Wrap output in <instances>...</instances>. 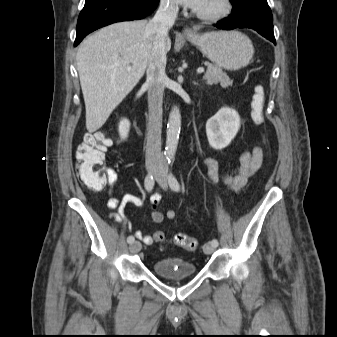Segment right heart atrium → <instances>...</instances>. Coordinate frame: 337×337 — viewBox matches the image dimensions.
<instances>
[{
  "label": "right heart atrium",
  "instance_id": "1",
  "mask_svg": "<svg viewBox=\"0 0 337 337\" xmlns=\"http://www.w3.org/2000/svg\"><path fill=\"white\" fill-rule=\"evenodd\" d=\"M161 4L171 13H175L177 11V6L173 2V0H161Z\"/></svg>",
  "mask_w": 337,
  "mask_h": 337
}]
</instances>
